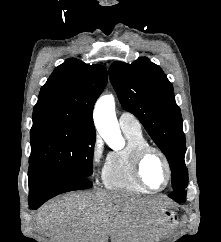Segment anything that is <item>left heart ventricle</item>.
<instances>
[{
  "label": "left heart ventricle",
  "instance_id": "left-heart-ventricle-1",
  "mask_svg": "<svg viewBox=\"0 0 221 242\" xmlns=\"http://www.w3.org/2000/svg\"><path fill=\"white\" fill-rule=\"evenodd\" d=\"M142 173L145 181L153 188L164 186L167 178L162 159L155 153L150 154L143 163Z\"/></svg>",
  "mask_w": 221,
  "mask_h": 242
}]
</instances>
